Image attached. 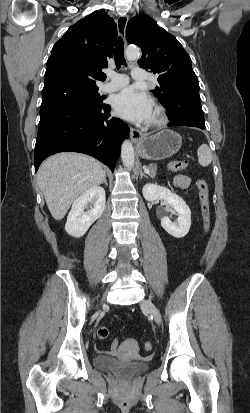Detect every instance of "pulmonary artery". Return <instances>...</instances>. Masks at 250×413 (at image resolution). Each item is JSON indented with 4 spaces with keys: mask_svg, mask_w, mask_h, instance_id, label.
Segmentation results:
<instances>
[{
    "mask_svg": "<svg viewBox=\"0 0 250 413\" xmlns=\"http://www.w3.org/2000/svg\"><path fill=\"white\" fill-rule=\"evenodd\" d=\"M131 75H132L133 79H135V80H144L145 79V72H144L143 69H141L139 67H135L132 70ZM108 77H109V81L106 82L101 88V90L103 92H112V91L119 90V89L127 86L128 83H129V78L125 74L109 72Z\"/></svg>",
    "mask_w": 250,
    "mask_h": 413,
    "instance_id": "1",
    "label": "pulmonary artery"
}]
</instances>
